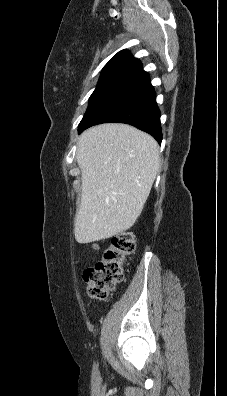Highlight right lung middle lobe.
I'll list each match as a JSON object with an SVG mask.
<instances>
[{"label": "right lung middle lobe", "mask_w": 227, "mask_h": 396, "mask_svg": "<svg viewBox=\"0 0 227 396\" xmlns=\"http://www.w3.org/2000/svg\"><path fill=\"white\" fill-rule=\"evenodd\" d=\"M133 73L134 72L129 70H111L102 72L97 87L90 96L89 106L82 121Z\"/></svg>", "instance_id": "right-lung-middle-lobe-1"}]
</instances>
